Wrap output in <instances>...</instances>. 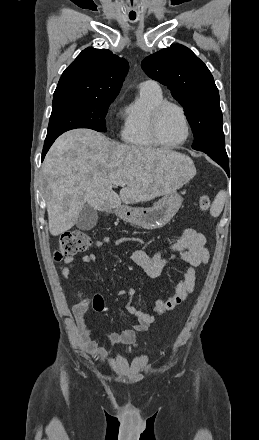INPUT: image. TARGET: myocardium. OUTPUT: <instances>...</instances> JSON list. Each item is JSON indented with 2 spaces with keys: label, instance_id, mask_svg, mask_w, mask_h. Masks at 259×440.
<instances>
[{
  "label": "myocardium",
  "instance_id": "obj_1",
  "mask_svg": "<svg viewBox=\"0 0 259 440\" xmlns=\"http://www.w3.org/2000/svg\"><path fill=\"white\" fill-rule=\"evenodd\" d=\"M169 107H173L175 109H177L184 121L185 124V128H186V134L185 137L177 142V143H173V144H168L165 143L159 134V125H160V120H161V116L163 114V112L169 108ZM150 131H151V135L153 140L155 141V143L163 148H167V149H173V148H178L182 145H184L190 138L191 135V125L189 122V118L187 116V113L185 111V109L178 103L173 102V101H168V100H164L163 102H161L160 104H158L151 115V120H150Z\"/></svg>",
  "mask_w": 259,
  "mask_h": 440
}]
</instances>
